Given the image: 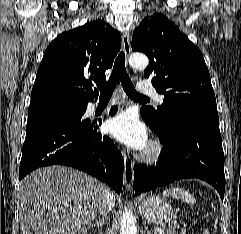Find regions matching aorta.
Wrapping results in <instances>:
<instances>
[{"instance_id": "aorta-1", "label": "aorta", "mask_w": 241, "mask_h": 234, "mask_svg": "<svg viewBox=\"0 0 241 234\" xmlns=\"http://www.w3.org/2000/svg\"><path fill=\"white\" fill-rule=\"evenodd\" d=\"M129 63L133 68L145 69L149 61L146 55L134 53L130 56ZM120 234H137L136 219L127 209L121 215Z\"/></svg>"}]
</instances>
